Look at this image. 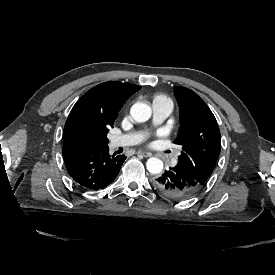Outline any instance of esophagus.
<instances>
[{"label":"esophagus","instance_id":"obj_1","mask_svg":"<svg viewBox=\"0 0 275 275\" xmlns=\"http://www.w3.org/2000/svg\"><path fill=\"white\" fill-rule=\"evenodd\" d=\"M137 154H141V155L144 156L145 158L152 156V153L146 152V151H142V150L137 151Z\"/></svg>","mask_w":275,"mask_h":275}]
</instances>
